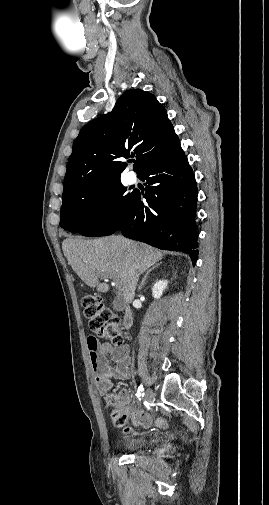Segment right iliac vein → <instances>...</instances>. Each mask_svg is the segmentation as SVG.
Masks as SVG:
<instances>
[{"instance_id": "1", "label": "right iliac vein", "mask_w": 269, "mask_h": 505, "mask_svg": "<svg viewBox=\"0 0 269 505\" xmlns=\"http://www.w3.org/2000/svg\"><path fill=\"white\" fill-rule=\"evenodd\" d=\"M153 398H154L153 391L148 388L145 392V401L150 403L152 402Z\"/></svg>"}]
</instances>
